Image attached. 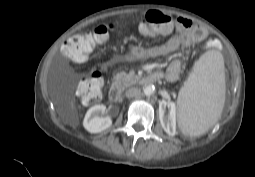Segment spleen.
Returning <instances> with one entry per match:
<instances>
[{
    "mask_svg": "<svg viewBox=\"0 0 255 177\" xmlns=\"http://www.w3.org/2000/svg\"><path fill=\"white\" fill-rule=\"evenodd\" d=\"M225 102L224 59L220 52H205L193 66L178 99V123L190 136L204 134L221 116Z\"/></svg>",
    "mask_w": 255,
    "mask_h": 177,
    "instance_id": "3e777b00",
    "label": "spleen"
}]
</instances>
